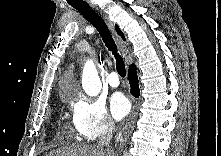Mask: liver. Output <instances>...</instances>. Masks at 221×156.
Masks as SVG:
<instances>
[{"instance_id": "6515ba94", "label": "liver", "mask_w": 221, "mask_h": 156, "mask_svg": "<svg viewBox=\"0 0 221 156\" xmlns=\"http://www.w3.org/2000/svg\"><path fill=\"white\" fill-rule=\"evenodd\" d=\"M47 156H113V152L97 145H77L53 150Z\"/></svg>"}]
</instances>
